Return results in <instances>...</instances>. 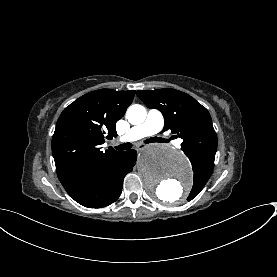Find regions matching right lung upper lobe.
I'll list each match as a JSON object with an SVG mask.
<instances>
[{
  "label": "right lung upper lobe",
  "mask_w": 277,
  "mask_h": 277,
  "mask_svg": "<svg viewBox=\"0 0 277 277\" xmlns=\"http://www.w3.org/2000/svg\"><path fill=\"white\" fill-rule=\"evenodd\" d=\"M135 91L100 89L89 92L61 113L52 138V153L63 186L102 160L115 155L102 152L104 138L116 137V122L131 104Z\"/></svg>",
  "instance_id": "obj_1"
}]
</instances>
